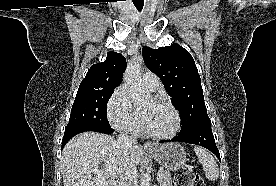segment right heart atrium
<instances>
[{
    "instance_id": "d8ad5b80",
    "label": "right heart atrium",
    "mask_w": 276,
    "mask_h": 186,
    "mask_svg": "<svg viewBox=\"0 0 276 186\" xmlns=\"http://www.w3.org/2000/svg\"><path fill=\"white\" fill-rule=\"evenodd\" d=\"M107 118L116 130L136 134L140 129V118L125 86L118 87L107 103Z\"/></svg>"
}]
</instances>
